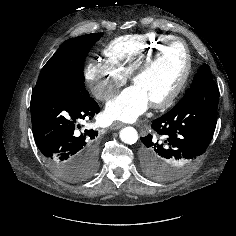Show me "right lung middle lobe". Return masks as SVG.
<instances>
[{
  "label": "right lung middle lobe",
  "mask_w": 236,
  "mask_h": 236,
  "mask_svg": "<svg viewBox=\"0 0 236 236\" xmlns=\"http://www.w3.org/2000/svg\"><path fill=\"white\" fill-rule=\"evenodd\" d=\"M102 33L87 34L65 41L42 68L35 88L75 89L88 94L84 84L83 62ZM96 159L80 164L64 179L84 180L92 175Z\"/></svg>",
  "instance_id": "dd1d6c3e"
}]
</instances>
